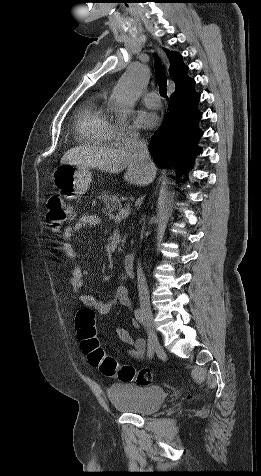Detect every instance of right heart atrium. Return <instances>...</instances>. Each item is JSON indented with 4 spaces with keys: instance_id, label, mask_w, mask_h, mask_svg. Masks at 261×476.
Listing matches in <instances>:
<instances>
[{
    "instance_id": "right-heart-atrium-1",
    "label": "right heart atrium",
    "mask_w": 261,
    "mask_h": 476,
    "mask_svg": "<svg viewBox=\"0 0 261 476\" xmlns=\"http://www.w3.org/2000/svg\"><path fill=\"white\" fill-rule=\"evenodd\" d=\"M137 130L130 124H117L113 129V139L116 141H123L130 137H136Z\"/></svg>"
}]
</instances>
